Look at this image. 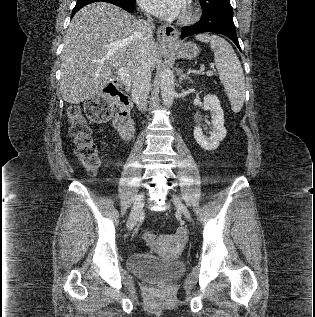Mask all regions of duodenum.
I'll list each match as a JSON object with an SVG mask.
<instances>
[{
  "instance_id": "1",
  "label": "duodenum",
  "mask_w": 315,
  "mask_h": 317,
  "mask_svg": "<svg viewBox=\"0 0 315 317\" xmlns=\"http://www.w3.org/2000/svg\"><path fill=\"white\" fill-rule=\"evenodd\" d=\"M118 111L114 118V126L121 138L127 142L134 133V122L131 116L132 103L128 95L122 91L117 93Z\"/></svg>"
}]
</instances>
